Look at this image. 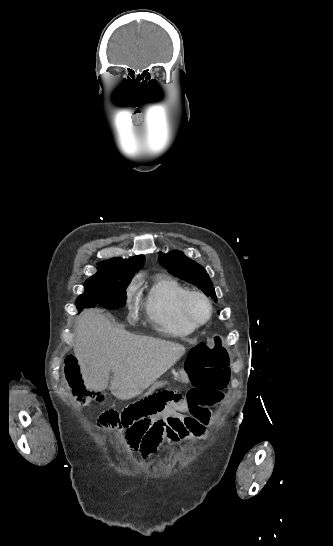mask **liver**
<instances>
[{
  "label": "liver",
  "instance_id": "1",
  "mask_svg": "<svg viewBox=\"0 0 333 546\" xmlns=\"http://www.w3.org/2000/svg\"><path fill=\"white\" fill-rule=\"evenodd\" d=\"M76 324L74 354L85 388L105 390L112 371L110 390L121 400L142 393L185 353L180 344L114 327L98 309L83 312Z\"/></svg>",
  "mask_w": 333,
  "mask_h": 546
}]
</instances>
